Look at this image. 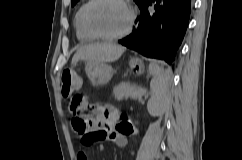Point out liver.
<instances>
[{
    "mask_svg": "<svg viewBox=\"0 0 242 160\" xmlns=\"http://www.w3.org/2000/svg\"><path fill=\"white\" fill-rule=\"evenodd\" d=\"M125 47L114 43H97L81 47L72 58V64L79 61L86 62H114L125 51Z\"/></svg>",
    "mask_w": 242,
    "mask_h": 160,
    "instance_id": "obj_1",
    "label": "liver"
}]
</instances>
